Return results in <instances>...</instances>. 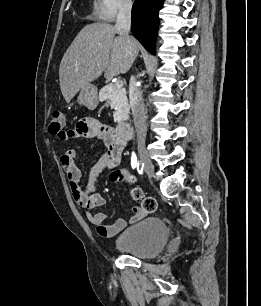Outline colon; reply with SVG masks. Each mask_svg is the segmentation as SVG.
Segmentation results:
<instances>
[{
    "mask_svg": "<svg viewBox=\"0 0 261 306\" xmlns=\"http://www.w3.org/2000/svg\"><path fill=\"white\" fill-rule=\"evenodd\" d=\"M64 127L65 116L63 112L60 110H54L51 115L49 131L59 138H63L67 131ZM112 181L133 184L135 182V177L131 175L128 170L122 169L117 170L112 174ZM132 196L135 200L140 202V207L145 213H154L157 211L158 206L156 200L153 197L144 196L139 188L134 187L132 189Z\"/></svg>",
    "mask_w": 261,
    "mask_h": 306,
    "instance_id": "colon-1",
    "label": "colon"
}]
</instances>
